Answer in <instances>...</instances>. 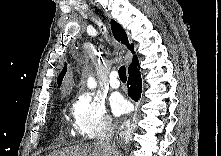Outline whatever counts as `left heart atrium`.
I'll return each mask as SVG.
<instances>
[{"mask_svg": "<svg viewBox=\"0 0 221 156\" xmlns=\"http://www.w3.org/2000/svg\"><path fill=\"white\" fill-rule=\"evenodd\" d=\"M111 108H112L113 113L118 116L127 111L128 104L122 96L116 95L111 100Z\"/></svg>", "mask_w": 221, "mask_h": 156, "instance_id": "39dd6f15", "label": "left heart atrium"}]
</instances>
